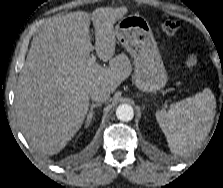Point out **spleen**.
I'll use <instances>...</instances> for the list:
<instances>
[{"label":"spleen","mask_w":223,"mask_h":188,"mask_svg":"<svg viewBox=\"0 0 223 188\" xmlns=\"http://www.w3.org/2000/svg\"><path fill=\"white\" fill-rule=\"evenodd\" d=\"M216 101L206 88L193 97L156 112L157 122L173 154L188 155L207 136L213 124Z\"/></svg>","instance_id":"spleen-1"}]
</instances>
